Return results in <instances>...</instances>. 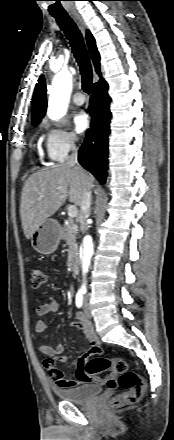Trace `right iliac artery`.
I'll return each mask as SVG.
<instances>
[{
  "label": "right iliac artery",
  "instance_id": "right-iliac-artery-1",
  "mask_svg": "<svg viewBox=\"0 0 174 440\" xmlns=\"http://www.w3.org/2000/svg\"><path fill=\"white\" fill-rule=\"evenodd\" d=\"M83 304V294L81 292H78L76 294V306L80 308Z\"/></svg>",
  "mask_w": 174,
  "mask_h": 440
}]
</instances>
